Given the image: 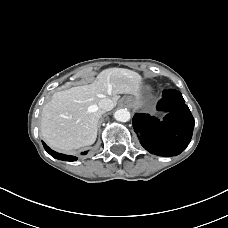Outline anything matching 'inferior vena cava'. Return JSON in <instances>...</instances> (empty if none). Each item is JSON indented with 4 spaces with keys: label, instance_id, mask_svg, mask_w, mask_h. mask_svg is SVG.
I'll return each mask as SVG.
<instances>
[{
    "label": "inferior vena cava",
    "instance_id": "obj_1",
    "mask_svg": "<svg viewBox=\"0 0 228 228\" xmlns=\"http://www.w3.org/2000/svg\"><path fill=\"white\" fill-rule=\"evenodd\" d=\"M98 105L100 109L108 111L112 107V101L109 98H104L99 101Z\"/></svg>",
    "mask_w": 228,
    "mask_h": 228
}]
</instances>
